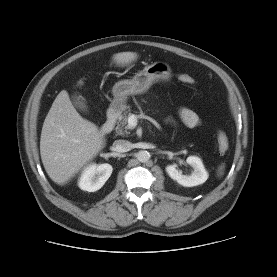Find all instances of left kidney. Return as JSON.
Returning a JSON list of instances; mask_svg holds the SVG:
<instances>
[{"mask_svg":"<svg viewBox=\"0 0 277 277\" xmlns=\"http://www.w3.org/2000/svg\"><path fill=\"white\" fill-rule=\"evenodd\" d=\"M186 162L193 168V172L190 175H183L181 171L176 169V165H168L166 172L173 180L185 187L203 184L208 179V173L201 159L197 156H189Z\"/></svg>","mask_w":277,"mask_h":277,"instance_id":"1","label":"left kidney"}]
</instances>
